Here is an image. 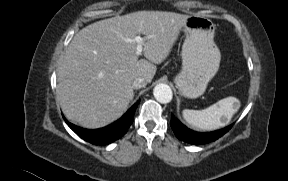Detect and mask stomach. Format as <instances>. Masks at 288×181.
<instances>
[{
  "instance_id": "1",
  "label": "stomach",
  "mask_w": 288,
  "mask_h": 181,
  "mask_svg": "<svg viewBox=\"0 0 288 181\" xmlns=\"http://www.w3.org/2000/svg\"><path fill=\"white\" fill-rule=\"evenodd\" d=\"M215 24L198 15L188 16L183 30L186 38L182 47V70L174 81L187 98L204 94L207 84L219 69L221 54L214 42Z\"/></svg>"
}]
</instances>
